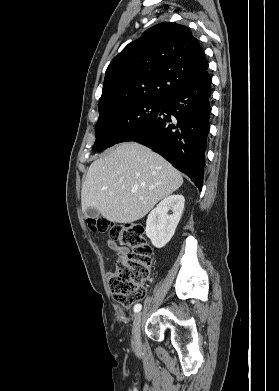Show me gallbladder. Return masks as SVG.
Here are the masks:
<instances>
[{
    "label": "gallbladder",
    "mask_w": 279,
    "mask_h": 391,
    "mask_svg": "<svg viewBox=\"0 0 279 391\" xmlns=\"http://www.w3.org/2000/svg\"><path fill=\"white\" fill-rule=\"evenodd\" d=\"M99 216V211L96 208H89L85 212V217L86 218H96Z\"/></svg>",
    "instance_id": "1"
}]
</instances>
